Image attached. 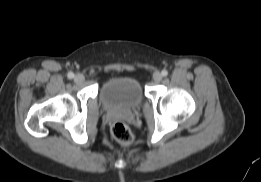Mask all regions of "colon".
I'll use <instances>...</instances> for the list:
<instances>
[{"label": "colon", "instance_id": "5ec220e1", "mask_svg": "<svg viewBox=\"0 0 261 182\" xmlns=\"http://www.w3.org/2000/svg\"><path fill=\"white\" fill-rule=\"evenodd\" d=\"M111 133L113 137L121 144L129 145L133 141V134L131 130L123 122H115L112 125Z\"/></svg>", "mask_w": 261, "mask_h": 182}]
</instances>
